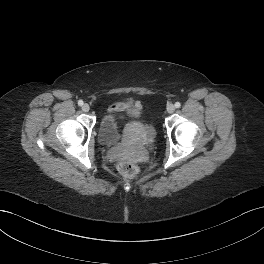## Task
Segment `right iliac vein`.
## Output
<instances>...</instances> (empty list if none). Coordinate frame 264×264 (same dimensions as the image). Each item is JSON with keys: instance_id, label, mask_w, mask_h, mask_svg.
Returning a JSON list of instances; mask_svg holds the SVG:
<instances>
[{"instance_id": "63e3f726", "label": "right iliac vein", "mask_w": 264, "mask_h": 264, "mask_svg": "<svg viewBox=\"0 0 264 264\" xmlns=\"http://www.w3.org/2000/svg\"><path fill=\"white\" fill-rule=\"evenodd\" d=\"M82 110H83L84 112H88V111L90 110V106H89L88 104H84V105L82 106Z\"/></svg>"}]
</instances>
